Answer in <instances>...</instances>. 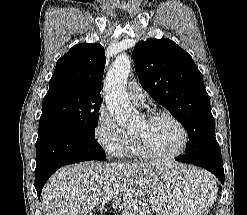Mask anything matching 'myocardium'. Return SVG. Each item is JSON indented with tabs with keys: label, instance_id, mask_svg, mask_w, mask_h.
<instances>
[{
	"label": "myocardium",
	"instance_id": "obj_1",
	"mask_svg": "<svg viewBox=\"0 0 247 215\" xmlns=\"http://www.w3.org/2000/svg\"><path fill=\"white\" fill-rule=\"evenodd\" d=\"M159 118L170 119L180 129L182 133V144L179 150L172 154H157L148 147L145 139L140 134L133 133L132 135L135 139V143H136L139 153L141 154L142 157L148 160H152V161H166V160H172V159L180 157L186 151L188 143H189V133H188L187 128L185 127V125L179 118H177L174 114L167 112V111L151 112L145 117V121L151 122Z\"/></svg>",
	"mask_w": 247,
	"mask_h": 215
}]
</instances>
